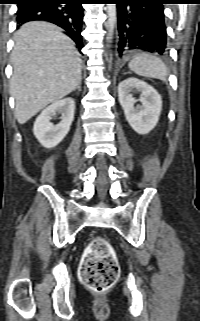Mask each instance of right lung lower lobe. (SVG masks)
I'll return each instance as SVG.
<instances>
[{"label":"right lung lower lobe","mask_w":200,"mask_h":321,"mask_svg":"<svg viewBox=\"0 0 200 321\" xmlns=\"http://www.w3.org/2000/svg\"><path fill=\"white\" fill-rule=\"evenodd\" d=\"M84 0H21L17 10V24L29 21H48L58 25L82 49Z\"/></svg>","instance_id":"obj_1"}]
</instances>
